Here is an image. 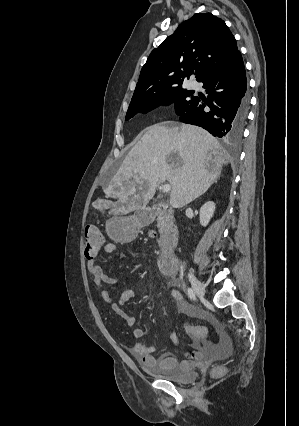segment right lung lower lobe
I'll use <instances>...</instances> for the list:
<instances>
[{
    "label": "right lung lower lobe",
    "mask_w": 299,
    "mask_h": 426,
    "mask_svg": "<svg viewBox=\"0 0 299 426\" xmlns=\"http://www.w3.org/2000/svg\"><path fill=\"white\" fill-rule=\"evenodd\" d=\"M200 82L204 84L208 98L194 96L178 112L180 120L201 126L214 136L238 138L248 112L246 73L240 52L230 63L209 73Z\"/></svg>",
    "instance_id": "1"
}]
</instances>
